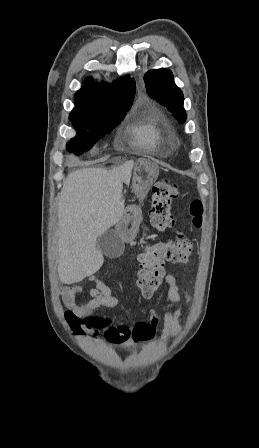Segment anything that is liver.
<instances>
[{"mask_svg": "<svg viewBox=\"0 0 259 448\" xmlns=\"http://www.w3.org/2000/svg\"><path fill=\"white\" fill-rule=\"evenodd\" d=\"M133 160L114 170L84 168L71 172L58 196V276L76 284L100 270L104 258L98 236L121 222L122 184L131 178Z\"/></svg>", "mask_w": 259, "mask_h": 448, "instance_id": "6515ba94", "label": "liver"}]
</instances>
